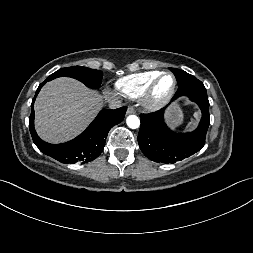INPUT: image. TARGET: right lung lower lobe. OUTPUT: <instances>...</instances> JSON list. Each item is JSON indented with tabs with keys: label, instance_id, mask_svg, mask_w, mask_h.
Segmentation results:
<instances>
[{
	"label": "right lung lower lobe",
	"instance_id": "98d812e1",
	"mask_svg": "<svg viewBox=\"0 0 253 253\" xmlns=\"http://www.w3.org/2000/svg\"><path fill=\"white\" fill-rule=\"evenodd\" d=\"M50 81L48 78L39 85L31 104V115L29 117V129L36 146L44 154L55 158L65 164L76 162L86 163L97 158L105 145L109 130L116 124L123 121L127 107L115 110H102L88 126V128L75 139L62 144H49L42 141L34 129L33 104L41 87Z\"/></svg>",
	"mask_w": 253,
	"mask_h": 253
}]
</instances>
